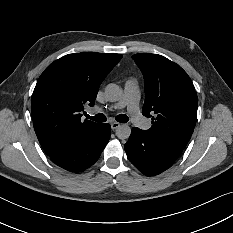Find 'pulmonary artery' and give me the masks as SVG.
Here are the masks:
<instances>
[{"instance_id":"pulmonary-artery-1","label":"pulmonary artery","mask_w":233,"mask_h":233,"mask_svg":"<svg viewBox=\"0 0 233 233\" xmlns=\"http://www.w3.org/2000/svg\"><path fill=\"white\" fill-rule=\"evenodd\" d=\"M140 90L138 82L135 79H130L125 82L123 99L119 103L113 105L110 109H121L127 107L131 113L129 119L132 123L137 124L139 129L146 132L150 129L151 124L148 119L141 116L139 111ZM100 109H94V112H99Z\"/></svg>"}]
</instances>
